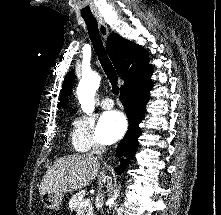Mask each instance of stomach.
<instances>
[{
    "instance_id": "obj_1",
    "label": "stomach",
    "mask_w": 221,
    "mask_h": 215,
    "mask_svg": "<svg viewBox=\"0 0 221 215\" xmlns=\"http://www.w3.org/2000/svg\"><path fill=\"white\" fill-rule=\"evenodd\" d=\"M64 198V193L59 192H45L41 195V200L44 206L51 210H59L62 200Z\"/></svg>"
}]
</instances>
